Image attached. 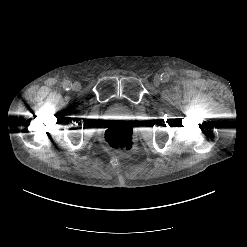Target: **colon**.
I'll list each match as a JSON object with an SVG mask.
<instances>
[{"mask_svg":"<svg viewBox=\"0 0 247 247\" xmlns=\"http://www.w3.org/2000/svg\"><path fill=\"white\" fill-rule=\"evenodd\" d=\"M103 142L110 149H131L135 142L133 129L129 126L109 128L103 134Z\"/></svg>","mask_w":247,"mask_h":247,"instance_id":"1","label":"colon"}]
</instances>
